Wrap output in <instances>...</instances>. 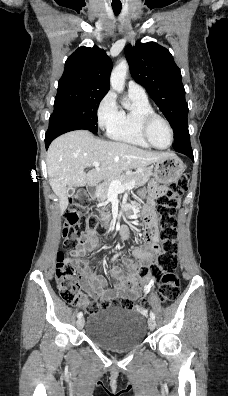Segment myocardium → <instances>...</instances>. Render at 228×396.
<instances>
[{
  "mask_svg": "<svg viewBox=\"0 0 228 396\" xmlns=\"http://www.w3.org/2000/svg\"><path fill=\"white\" fill-rule=\"evenodd\" d=\"M156 119L163 121L165 123V125L167 126L169 133H170V142L164 148L156 146L152 142L150 135H149L150 126H151L152 122ZM140 132H141L143 139L148 143V145L150 147L158 149V150H166V149L170 148L174 141V131H173V128H172L170 122L164 116H162L156 112L145 113V114L141 115V117H140Z\"/></svg>",
  "mask_w": 228,
  "mask_h": 396,
  "instance_id": "obj_1",
  "label": "myocardium"
}]
</instances>
